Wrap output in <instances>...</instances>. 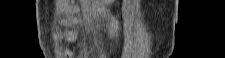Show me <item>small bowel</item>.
I'll return each mask as SVG.
<instances>
[{
  "mask_svg": "<svg viewBox=\"0 0 225 58\" xmlns=\"http://www.w3.org/2000/svg\"><path fill=\"white\" fill-rule=\"evenodd\" d=\"M112 2V0H102L100 3L101 9H103L104 7H106L107 5H109ZM114 22L110 23V27H113Z\"/></svg>",
  "mask_w": 225,
  "mask_h": 58,
  "instance_id": "obj_1",
  "label": "small bowel"
}]
</instances>
